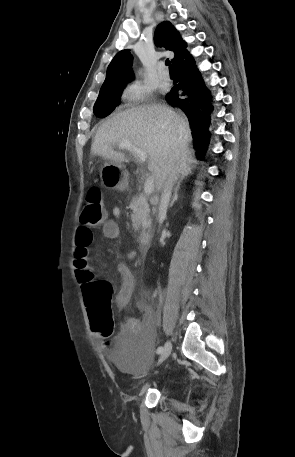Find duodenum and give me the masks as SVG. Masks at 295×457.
<instances>
[{
  "label": "duodenum",
  "mask_w": 295,
  "mask_h": 457,
  "mask_svg": "<svg viewBox=\"0 0 295 457\" xmlns=\"http://www.w3.org/2000/svg\"><path fill=\"white\" fill-rule=\"evenodd\" d=\"M152 241V234L150 232H143L140 236V250L142 254H147Z\"/></svg>",
  "instance_id": "duodenum-1"
}]
</instances>
